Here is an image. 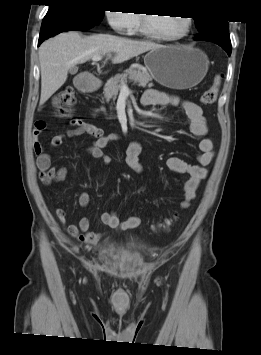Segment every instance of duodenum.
Masks as SVG:
<instances>
[{"mask_svg":"<svg viewBox=\"0 0 261 355\" xmlns=\"http://www.w3.org/2000/svg\"><path fill=\"white\" fill-rule=\"evenodd\" d=\"M77 88L81 91H94L97 88V82L93 78H80L76 82Z\"/></svg>","mask_w":261,"mask_h":355,"instance_id":"410a0bca","label":"duodenum"}]
</instances>
